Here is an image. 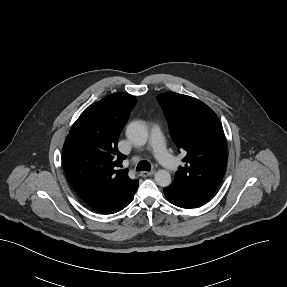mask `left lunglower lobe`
<instances>
[{
	"mask_svg": "<svg viewBox=\"0 0 287 287\" xmlns=\"http://www.w3.org/2000/svg\"><path fill=\"white\" fill-rule=\"evenodd\" d=\"M167 200L181 208H197L204 205L211 196L184 185L171 184L164 188Z\"/></svg>",
	"mask_w": 287,
	"mask_h": 287,
	"instance_id": "0a47b994",
	"label": "left lung lower lobe"
}]
</instances>
